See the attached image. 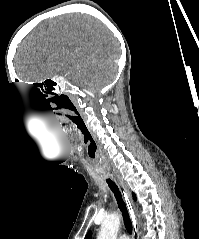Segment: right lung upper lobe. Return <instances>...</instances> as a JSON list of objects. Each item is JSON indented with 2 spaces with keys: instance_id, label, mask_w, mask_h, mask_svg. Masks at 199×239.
<instances>
[{
  "instance_id": "right-lung-upper-lobe-1",
  "label": "right lung upper lobe",
  "mask_w": 199,
  "mask_h": 239,
  "mask_svg": "<svg viewBox=\"0 0 199 239\" xmlns=\"http://www.w3.org/2000/svg\"><path fill=\"white\" fill-rule=\"evenodd\" d=\"M85 239H92V233H91V231L88 232V234L86 235Z\"/></svg>"
}]
</instances>
